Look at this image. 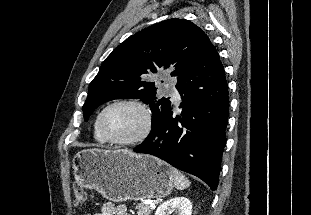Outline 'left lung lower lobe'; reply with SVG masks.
Here are the masks:
<instances>
[{
	"label": "left lung lower lobe",
	"mask_w": 311,
	"mask_h": 215,
	"mask_svg": "<svg viewBox=\"0 0 311 215\" xmlns=\"http://www.w3.org/2000/svg\"><path fill=\"white\" fill-rule=\"evenodd\" d=\"M176 88L182 100L181 112L175 115L169 100L152 123L148 137L134 151L154 155L216 190L229 98L223 65L207 36L177 77Z\"/></svg>",
	"instance_id": "left-lung-lower-lobe-1"
}]
</instances>
